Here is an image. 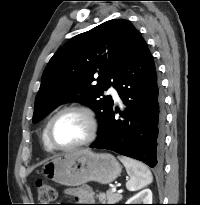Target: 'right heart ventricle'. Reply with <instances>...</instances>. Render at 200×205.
I'll return each mask as SVG.
<instances>
[{
  "instance_id": "right-heart-ventricle-1",
  "label": "right heart ventricle",
  "mask_w": 200,
  "mask_h": 205,
  "mask_svg": "<svg viewBox=\"0 0 200 205\" xmlns=\"http://www.w3.org/2000/svg\"><path fill=\"white\" fill-rule=\"evenodd\" d=\"M46 127H47V125H46ZM46 127L44 128L43 133H42V142H43V145H44L45 149L50 151L53 148L51 147V145L49 144V142L47 140Z\"/></svg>"
}]
</instances>
